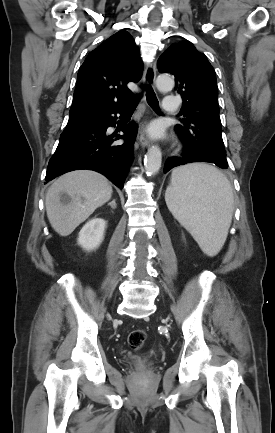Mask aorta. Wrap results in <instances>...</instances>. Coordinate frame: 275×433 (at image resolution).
Masks as SVG:
<instances>
[{
	"label": "aorta",
	"mask_w": 275,
	"mask_h": 433,
	"mask_svg": "<svg viewBox=\"0 0 275 433\" xmlns=\"http://www.w3.org/2000/svg\"><path fill=\"white\" fill-rule=\"evenodd\" d=\"M156 85L160 90H170L174 87V79L170 75H159ZM162 163V153L158 146H152L147 152L144 160L145 170L154 175L159 172Z\"/></svg>",
	"instance_id": "obj_1"
}]
</instances>
